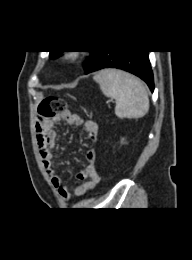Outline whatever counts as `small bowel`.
Here are the masks:
<instances>
[{"instance_id":"small-bowel-1","label":"small bowel","mask_w":192,"mask_h":260,"mask_svg":"<svg viewBox=\"0 0 192 260\" xmlns=\"http://www.w3.org/2000/svg\"><path fill=\"white\" fill-rule=\"evenodd\" d=\"M62 119L72 125H82L84 131L92 140L97 139L98 125L92 120H87L84 122L79 115L70 111H68L64 117H58L51 120L39 119L36 123L37 143L43 166L60 197L65 201H69L71 198L70 188L63 182L54 166V161L59 157V155L54 151L56 142V130L54 126ZM85 159V169L77 173V179L82 181V183L75 186L73 189L76 196H84L87 191L93 190L100 180L96 169L95 150L89 149L86 152Z\"/></svg>"}]
</instances>
